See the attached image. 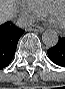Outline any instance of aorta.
Listing matches in <instances>:
<instances>
[{"mask_svg":"<svg viewBox=\"0 0 65 89\" xmlns=\"http://www.w3.org/2000/svg\"><path fill=\"white\" fill-rule=\"evenodd\" d=\"M58 40V34L54 30H45L42 34V41L47 48L56 46Z\"/></svg>","mask_w":65,"mask_h":89,"instance_id":"1","label":"aorta"}]
</instances>
